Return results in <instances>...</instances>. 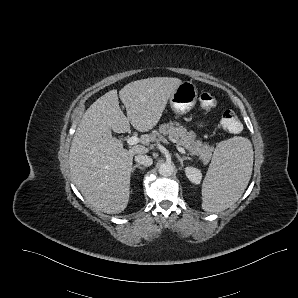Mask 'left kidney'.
I'll use <instances>...</instances> for the list:
<instances>
[{"label": "left kidney", "mask_w": 298, "mask_h": 298, "mask_svg": "<svg viewBox=\"0 0 298 298\" xmlns=\"http://www.w3.org/2000/svg\"><path fill=\"white\" fill-rule=\"evenodd\" d=\"M184 174L193 185H200L203 181V172L198 167L187 165L184 167Z\"/></svg>", "instance_id": "1"}]
</instances>
